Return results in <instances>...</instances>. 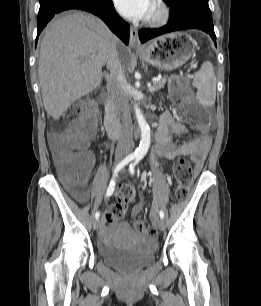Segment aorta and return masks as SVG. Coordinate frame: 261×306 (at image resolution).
Segmentation results:
<instances>
[{"mask_svg": "<svg viewBox=\"0 0 261 306\" xmlns=\"http://www.w3.org/2000/svg\"><path fill=\"white\" fill-rule=\"evenodd\" d=\"M134 110L141 131V141L139 147L135 151V154L142 157L147 153L150 146V128L138 105L134 106Z\"/></svg>", "mask_w": 261, "mask_h": 306, "instance_id": "1", "label": "aorta"}]
</instances>
